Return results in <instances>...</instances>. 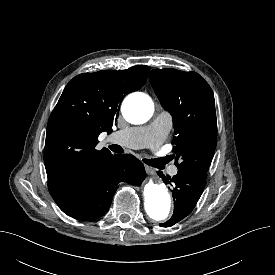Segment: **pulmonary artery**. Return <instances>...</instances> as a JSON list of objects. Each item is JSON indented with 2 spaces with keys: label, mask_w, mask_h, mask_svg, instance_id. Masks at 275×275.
<instances>
[{
  "label": "pulmonary artery",
  "mask_w": 275,
  "mask_h": 275,
  "mask_svg": "<svg viewBox=\"0 0 275 275\" xmlns=\"http://www.w3.org/2000/svg\"><path fill=\"white\" fill-rule=\"evenodd\" d=\"M171 127L170 115L162 111L153 122L143 127H130L114 132L111 136L116 143L133 149L153 148L161 144ZM169 173L174 176L178 173L176 166L170 168Z\"/></svg>",
  "instance_id": "1"
}]
</instances>
